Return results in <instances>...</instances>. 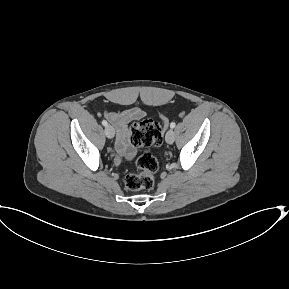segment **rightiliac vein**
Instances as JSON below:
<instances>
[{"label": "right iliac vein", "instance_id": "right-iliac-vein-1", "mask_svg": "<svg viewBox=\"0 0 289 289\" xmlns=\"http://www.w3.org/2000/svg\"><path fill=\"white\" fill-rule=\"evenodd\" d=\"M105 134L108 138H113L115 135V130L111 125L105 127Z\"/></svg>", "mask_w": 289, "mask_h": 289}]
</instances>
